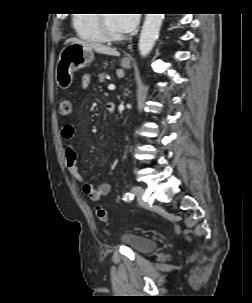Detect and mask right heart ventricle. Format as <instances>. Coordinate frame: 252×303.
<instances>
[{
    "mask_svg": "<svg viewBox=\"0 0 252 303\" xmlns=\"http://www.w3.org/2000/svg\"><path fill=\"white\" fill-rule=\"evenodd\" d=\"M74 27L78 34L93 42L105 40L99 24L98 14H78L73 20Z\"/></svg>",
    "mask_w": 252,
    "mask_h": 303,
    "instance_id": "e07e8e85",
    "label": "right heart ventricle"
}]
</instances>
